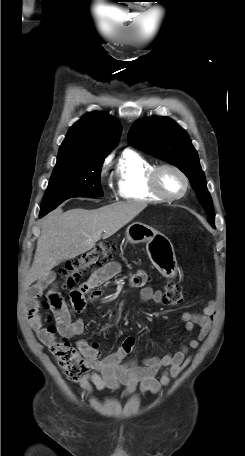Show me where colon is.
I'll return each instance as SVG.
<instances>
[{
	"label": "colon",
	"mask_w": 245,
	"mask_h": 456,
	"mask_svg": "<svg viewBox=\"0 0 245 456\" xmlns=\"http://www.w3.org/2000/svg\"><path fill=\"white\" fill-rule=\"evenodd\" d=\"M114 243L102 242L84 254L68 261L60 274L64 286L73 287L81 275L89 268L105 266L112 258ZM184 300V291L175 281H168L164 286V303L178 306ZM49 332L55 333L54 326L48 327ZM49 349L60 368L72 381H79L87 372L90 365L83 359L81 353L66 338L54 337Z\"/></svg>",
	"instance_id": "5ec220e1"
}]
</instances>
